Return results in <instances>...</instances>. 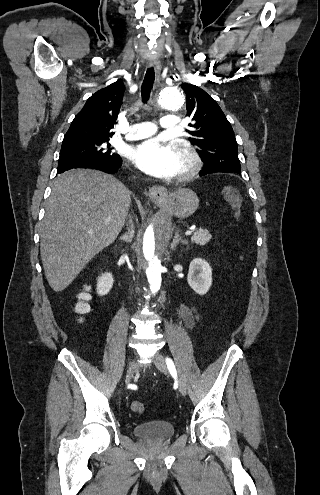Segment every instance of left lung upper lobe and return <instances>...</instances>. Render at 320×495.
I'll list each match as a JSON object with an SVG mask.
<instances>
[{
    "label": "left lung upper lobe",
    "instance_id": "5c2ea615",
    "mask_svg": "<svg viewBox=\"0 0 320 495\" xmlns=\"http://www.w3.org/2000/svg\"><path fill=\"white\" fill-rule=\"evenodd\" d=\"M186 93L187 115L192 118L189 124V141L199 148V155L206 169H224L241 173L238 147L231 124L217 102L204 90L183 83Z\"/></svg>",
    "mask_w": 320,
    "mask_h": 495
}]
</instances>
